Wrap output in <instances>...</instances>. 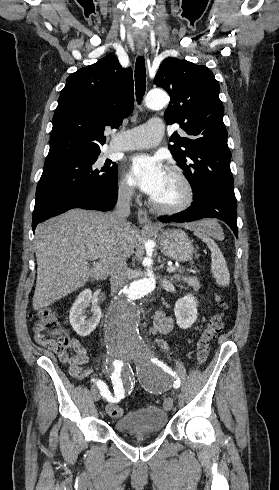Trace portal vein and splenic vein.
<instances>
[{
	"label": "portal vein and splenic vein",
	"instance_id": "18ae733b",
	"mask_svg": "<svg viewBox=\"0 0 279 490\" xmlns=\"http://www.w3.org/2000/svg\"><path fill=\"white\" fill-rule=\"evenodd\" d=\"M175 270H178V268H174V266H169V268H167V272H169V274H172V272H175Z\"/></svg>",
	"mask_w": 279,
	"mask_h": 490
}]
</instances>
